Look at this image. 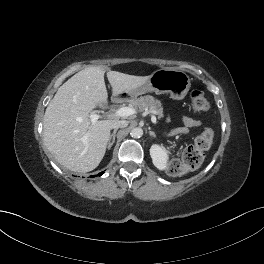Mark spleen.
Instances as JSON below:
<instances>
[{
  "instance_id": "1",
  "label": "spleen",
  "mask_w": 264,
  "mask_h": 264,
  "mask_svg": "<svg viewBox=\"0 0 264 264\" xmlns=\"http://www.w3.org/2000/svg\"><path fill=\"white\" fill-rule=\"evenodd\" d=\"M199 167H200V164L197 165L194 169H192V171L197 170Z\"/></svg>"
}]
</instances>
